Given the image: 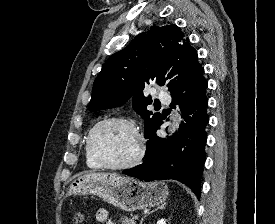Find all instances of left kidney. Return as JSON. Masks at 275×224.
<instances>
[{
    "label": "left kidney",
    "mask_w": 275,
    "mask_h": 224,
    "mask_svg": "<svg viewBox=\"0 0 275 224\" xmlns=\"http://www.w3.org/2000/svg\"><path fill=\"white\" fill-rule=\"evenodd\" d=\"M157 224H166L165 219H160L159 221H157Z\"/></svg>",
    "instance_id": "left-kidney-1"
}]
</instances>
